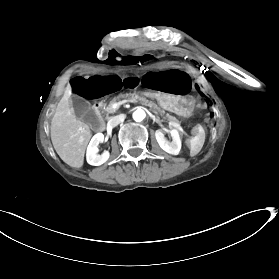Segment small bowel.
<instances>
[{
    "instance_id": "small-bowel-1",
    "label": "small bowel",
    "mask_w": 279,
    "mask_h": 279,
    "mask_svg": "<svg viewBox=\"0 0 279 279\" xmlns=\"http://www.w3.org/2000/svg\"><path fill=\"white\" fill-rule=\"evenodd\" d=\"M190 77L177 69H165L146 73L141 78L145 90L171 95L186 94L190 88Z\"/></svg>"
}]
</instances>
